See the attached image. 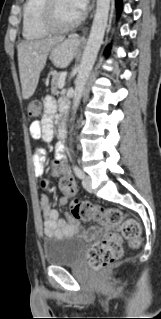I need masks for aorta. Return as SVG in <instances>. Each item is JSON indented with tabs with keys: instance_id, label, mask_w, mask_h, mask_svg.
<instances>
[{
	"instance_id": "aorta-1",
	"label": "aorta",
	"mask_w": 161,
	"mask_h": 319,
	"mask_svg": "<svg viewBox=\"0 0 161 319\" xmlns=\"http://www.w3.org/2000/svg\"><path fill=\"white\" fill-rule=\"evenodd\" d=\"M110 0H97L96 12L90 31V36L84 48L82 59L79 65L78 74L75 79L73 98V115L79 106L80 100L89 75L95 63L98 51L101 47L105 29L107 27Z\"/></svg>"
}]
</instances>
